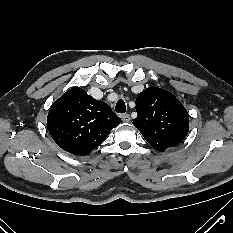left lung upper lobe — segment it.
<instances>
[{"label": "left lung upper lobe", "instance_id": "5c2ea615", "mask_svg": "<svg viewBox=\"0 0 233 233\" xmlns=\"http://www.w3.org/2000/svg\"><path fill=\"white\" fill-rule=\"evenodd\" d=\"M138 117L133 125L157 151L178 145L189 130V114L169 91L149 87L136 98Z\"/></svg>", "mask_w": 233, "mask_h": 233}]
</instances>
